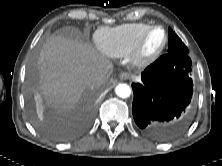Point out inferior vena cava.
Segmentation results:
<instances>
[{
  "label": "inferior vena cava",
  "mask_w": 222,
  "mask_h": 166,
  "mask_svg": "<svg viewBox=\"0 0 222 166\" xmlns=\"http://www.w3.org/2000/svg\"><path fill=\"white\" fill-rule=\"evenodd\" d=\"M104 79V76L102 74L99 73H92L88 78H87V82L89 84H100Z\"/></svg>",
  "instance_id": "1"
}]
</instances>
